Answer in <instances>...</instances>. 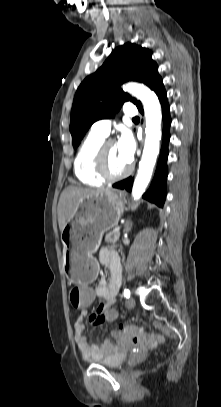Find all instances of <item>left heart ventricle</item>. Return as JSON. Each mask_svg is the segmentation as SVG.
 <instances>
[{
  "label": "left heart ventricle",
  "instance_id": "1",
  "mask_svg": "<svg viewBox=\"0 0 221 407\" xmlns=\"http://www.w3.org/2000/svg\"><path fill=\"white\" fill-rule=\"evenodd\" d=\"M107 168L112 174H119L123 172L129 165L127 161L120 153L117 143L110 145L107 149Z\"/></svg>",
  "mask_w": 221,
  "mask_h": 407
}]
</instances>
